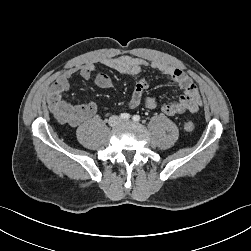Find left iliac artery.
Here are the masks:
<instances>
[{
    "label": "left iliac artery",
    "mask_w": 251,
    "mask_h": 251,
    "mask_svg": "<svg viewBox=\"0 0 251 251\" xmlns=\"http://www.w3.org/2000/svg\"><path fill=\"white\" fill-rule=\"evenodd\" d=\"M132 119H133V121L138 122L140 120V116L134 115Z\"/></svg>",
    "instance_id": "obj_1"
}]
</instances>
